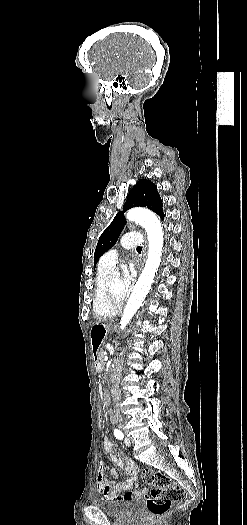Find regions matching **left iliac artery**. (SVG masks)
Segmentation results:
<instances>
[{"label": "left iliac artery", "instance_id": "left-iliac-artery-1", "mask_svg": "<svg viewBox=\"0 0 247 525\" xmlns=\"http://www.w3.org/2000/svg\"><path fill=\"white\" fill-rule=\"evenodd\" d=\"M114 435L119 440H122L124 437L123 433L119 429L114 430Z\"/></svg>", "mask_w": 247, "mask_h": 525}]
</instances>
